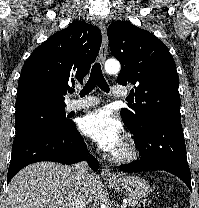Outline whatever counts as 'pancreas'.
I'll return each mask as SVG.
<instances>
[{"instance_id": "obj_1", "label": "pancreas", "mask_w": 199, "mask_h": 208, "mask_svg": "<svg viewBox=\"0 0 199 208\" xmlns=\"http://www.w3.org/2000/svg\"><path fill=\"white\" fill-rule=\"evenodd\" d=\"M128 206H131V207H141V203L138 202L137 200H131V199H128Z\"/></svg>"}]
</instances>
